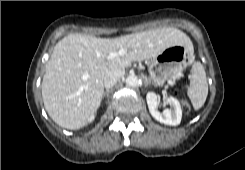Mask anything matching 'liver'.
<instances>
[{"mask_svg":"<svg viewBox=\"0 0 245 170\" xmlns=\"http://www.w3.org/2000/svg\"><path fill=\"white\" fill-rule=\"evenodd\" d=\"M175 45H184L193 52L190 38L172 27L113 39L67 35L55 45L45 66L41 87L48 115L63 128L80 129L101 105L108 72H125L133 61L150 59ZM120 49L126 50L125 55L108 59L111 52Z\"/></svg>","mask_w":245,"mask_h":170,"instance_id":"obj_1","label":"liver"}]
</instances>
